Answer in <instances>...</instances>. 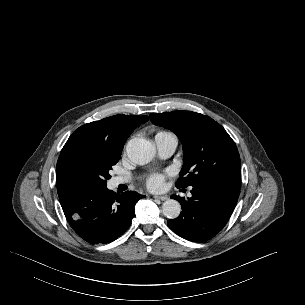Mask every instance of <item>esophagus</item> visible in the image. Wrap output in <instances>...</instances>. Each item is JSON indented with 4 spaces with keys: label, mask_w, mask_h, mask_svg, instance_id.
Wrapping results in <instances>:
<instances>
[{
    "label": "esophagus",
    "mask_w": 305,
    "mask_h": 305,
    "mask_svg": "<svg viewBox=\"0 0 305 305\" xmlns=\"http://www.w3.org/2000/svg\"><path fill=\"white\" fill-rule=\"evenodd\" d=\"M154 199H159L161 201H165L168 199V196H154Z\"/></svg>",
    "instance_id": "esophagus-1"
}]
</instances>
